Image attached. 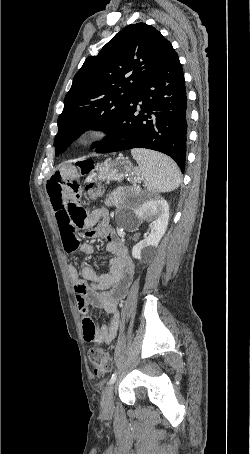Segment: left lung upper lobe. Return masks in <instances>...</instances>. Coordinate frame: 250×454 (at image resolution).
Listing matches in <instances>:
<instances>
[{
  "instance_id": "5c2ea615",
  "label": "left lung upper lobe",
  "mask_w": 250,
  "mask_h": 454,
  "mask_svg": "<svg viewBox=\"0 0 250 454\" xmlns=\"http://www.w3.org/2000/svg\"><path fill=\"white\" fill-rule=\"evenodd\" d=\"M173 51L154 27L137 23L118 32L97 56H89L65 96L54 140L55 155L88 129L111 134L138 88Z\"/></svg>"
}]
</instances>
